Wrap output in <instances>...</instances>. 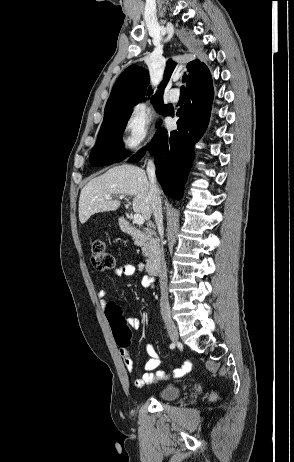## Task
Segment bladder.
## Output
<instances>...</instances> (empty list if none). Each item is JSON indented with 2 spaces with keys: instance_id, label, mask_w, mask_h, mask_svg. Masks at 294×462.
Masks as SVG:
<instances>
[{
  "instance_id": "obj_1",
  "label": "bladder",
  "mask_w": 294,
  "mask_h": 462,
  "mask_svg": "<svg viewBox=\"0 0 294 462\" xmlns=\"http://www.w3.org/2000/svg\"><path fill=\"white\" fill-rule=\"evenodd\" d=\"M181 393V388L177 385H167L164 386L159 392H158V398L161 400H173L176 397L179 396Z\"/></svg>"
}]
</instances>
